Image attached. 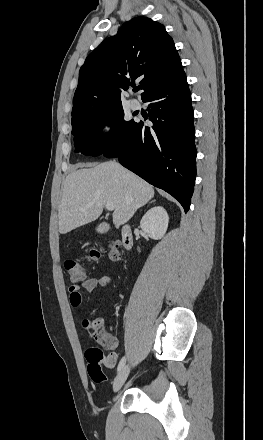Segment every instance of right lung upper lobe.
Listing matches in <instances>:
<instances>
[{
  "label": "right lung upper lobe",
  "instance_id": "1",
  "mask_svg": "<svg viewBox=\"0 0 263 440\" xmlns=\"http://www.w3.org/2000/svg\"><path fill=\"white\" fill-rule=\"evenodd\" d=\"M182 70L165 27L147 17L133 18L86 58L74 95L72 119L87 112L122 106V91L137 78L142 79L143 98Z\"/></svg>",
  "mask_w": 263,
  "mask_h": 440
}]
</instances>
